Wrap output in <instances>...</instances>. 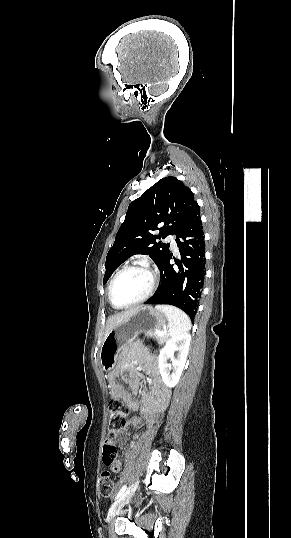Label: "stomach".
<instances>
[{
	"instance_id": "stomach-1",
	"label": "stomach",
	"mask_w": 291,
	"mask_h": 538,
	"mask_svg": "<svg viewBox=\"0 0 291 538\" xmlns=\"http://www.w3.org/2000/svg\"><path fill=\"white\" fill-rule=\"evenodd\" d=\"M166 316L151 306L134 312L126 321L116 326L104 339L100 349V363L108 373L111 364H118V353L131 344L140 333H150L165 327Z\"/></svg>"
}]
</instances>
